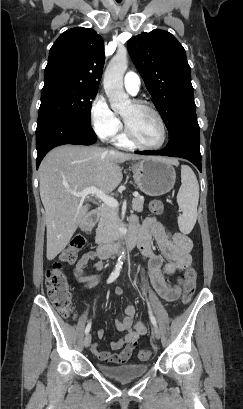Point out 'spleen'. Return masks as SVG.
I'll list each match as a JSON object with an SVG mask.
<instances>
[{"label": "spleen", "instance_id": "spleen-1", "mask_svg": "<svg viewBox=\"0 0 243 409\" xmlns=\"http://www.w3.org/2000/svg\"><path fill=\"white\" fill-rule=\"evenodd\" d=\"M199 201V184L193 170L181 166V186L177 194V203L182 211L178 217L180 230L188 234L193 229L197 220V206Z\"/></svg>", "mask_w": 243, "mask_h": 409}]
</instances>
